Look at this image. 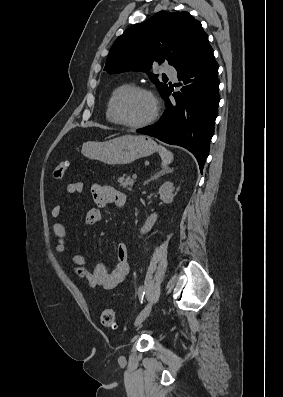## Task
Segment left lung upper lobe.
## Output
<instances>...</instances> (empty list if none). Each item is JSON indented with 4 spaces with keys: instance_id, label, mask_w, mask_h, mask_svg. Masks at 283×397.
<instances>
[{
    "instance_id": "5c2ea615",
    "label": "left lung upper lobe",
    "mask_w": 283,
    "mask_h": 397,
    "mask_svg": "<svg viewBox=\"0 0 283 397\" xmlns=\"http://www.w3.org/2000/svg\"><path fill=\"white\" fill-rule=\"evenodd\" d=\"M207 45L208 35L188 12L160 11L147 21L128 28L117 38L104 70L110 74L147 72L162 95L168 86L149 72L153 63L168 62L177 69Z\"/></svg>"
}]
</instances>
